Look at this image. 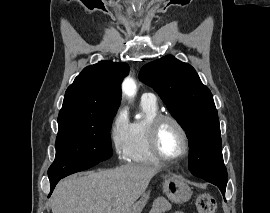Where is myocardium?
I'll use <instances>...</instances> for the list:
<instances>
[{
  "label": "myocardium",
  "mask_w": 270,
  "mask_h": 213,
  "mask_svg": "<svg viewBox=\"0 0 270 213\" xmlns=\"http://www.w3.org/2000/svg\"><path fill=\"white\" fill-rule=\"evenodd\" d=\"M172 122L181 132L184 139V151L179 157L171 158L165 156L159 149L158 136L162 125L165 122ZM147 141L150 152L158 160L167 163H176L186 159L190 153V138L184 125L174 116L169 114H158L149 123L147 130Z\"/></svg>",
  "instance_id": "obj_1"
}]
</instances>
